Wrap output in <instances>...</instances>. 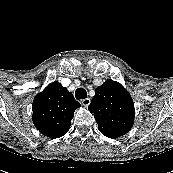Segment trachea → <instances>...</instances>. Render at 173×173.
Here are the masks:
<instances>
[{
  "mask_svg": "<svg viewBox=\"0 0 173 173\" xmlns=\"http://www.w3.org/2000/svg\"><path fill=\"white\" fill-rule=\"evenodd\" d=\"M76 99H85L87 97V92L84 88L80 87L75 91Z\"/></svg>",
  "mask_w": 173,
  "mask_h": 173,
  "instance_id": "obj_1",
  "label": "trachea"
}]
</instances>
